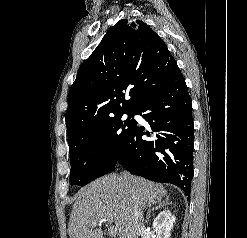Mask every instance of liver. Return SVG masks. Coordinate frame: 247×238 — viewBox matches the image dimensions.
<instances>
[{
  "label": "liver",
  "mask_w": 247,
  "mask_h": 238,
  "mask_svg": "<svg viewBox=\"0 0 247 238\" xmlns=\"http://www.w3.org/2000/svg\"><path fill=\"white\" fill-rule=\"evenodd\" d=\"M167 195L162 184L141 177L109 174L81 188L69 220L70 238H103L101 219H114L119 238H133L132 204L151 207Z\"/></svg>",
  "instance_id": "liver-1"
}]
</instances>
